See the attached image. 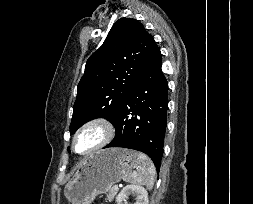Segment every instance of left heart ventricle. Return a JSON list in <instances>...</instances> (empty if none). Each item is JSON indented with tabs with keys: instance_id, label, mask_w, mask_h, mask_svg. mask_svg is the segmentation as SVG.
Instances as JSON below:
<instances>
[{
	"instance_id": "b2bd125f",
	"label": "left heart ventricle",
	"mask_w": 253,
	"mask_h": 204,
	"mask_svg": "<svg viewBox=\"0 0 253 204\" xmlns=\"http://www.w3.org/2000/svg\"><path fill=\"white\" fill-rule=\"evenodd\" d=\"M103 135V130L98 126H93L86 129L77 138V151L80 153L88 151L102 139Z\"/></svg>"
}]
</instances>
